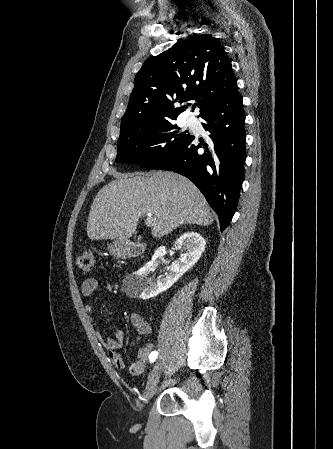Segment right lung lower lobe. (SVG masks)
Returning <instances> with one entry per match:
<instances>
[{
	"instance_id": "1",
	"label": "right lung lower lobe",
	"mask_w": 333,
	"mask_h": 449,
	"mask_svg": "<svg viewBox=\"0 0 333 449\" xmlns=\"http://www.w3.org/2000/svg\"><path fill=\"white\" fill-rule=\"evenodd\" d=\"M201 118L211 142L198 143L192 136L154 169L189 178L218 214L223 231L234 215L244 178L246 133L242 96L239 93L218 101ZM199 148L203 150L198 151Z\"/></svg>"
}]
</instances>
